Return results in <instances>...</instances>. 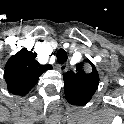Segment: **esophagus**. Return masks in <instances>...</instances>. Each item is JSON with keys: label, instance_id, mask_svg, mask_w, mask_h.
Returning <instances> with one entry per match:
<instances>
[{"label": "esophagus", "instance_id": "obj_1", "mask_svg": "<svg viewBox=\"0 0 124 124\" xmlns=\"http://www.w3.org/2000/svg\"><path fill=\"white\" fill-rule=\"evenodd\" d=\"M58 69H59L61 72H66V71H68V69H69V65H68V64H60V65L58 66Z\"/></svg>", "mask_w": 124, "mask_h": 124}]
</instances>
